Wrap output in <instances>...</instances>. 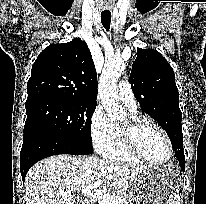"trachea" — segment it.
Masks as SVG:
<instances>
[{
  "label": "trachea",
  "instance_id": "1",
  "mask_svg": "<svg viewBox=\"0 0 206 204\" xmlns=\"http://www.w3.org/2000/svg\"><path fill=\"white\" fill-rule=\"evenodd\" d=\"M101 22L104 28L109 31L110 23H111V13L110 12H102L101 13Z\"/></svg>",
  "mask_w": 206,
  "mask_h": 204
}]
</instances>
